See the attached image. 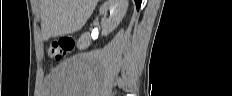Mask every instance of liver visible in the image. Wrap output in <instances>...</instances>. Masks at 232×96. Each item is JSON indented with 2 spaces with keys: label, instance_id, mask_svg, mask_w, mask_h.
Returning a JSON list of instances; mask_svg holds the SVG:
<instances>
[{
  "label": "liver",
  "instance_id": "liver-1",
  "mask_svg": "<svg viewBox=\"0 0 232 96\" xmlns=\"http://www.w3.org/2000/svg\"><path fill=\"white\" fill-rule=\"evenodd\" d=\"M98 0H40L42 37H58L80 30Z\"/></svg>",
  "mask_w": 232,
  "mask_h": 96
}]
</instances>
